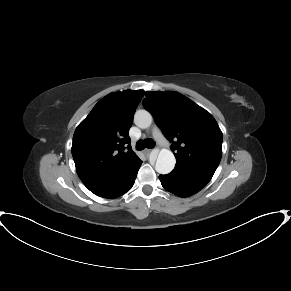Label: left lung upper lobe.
I'll list each match as a JSON object with an SVG mask.
<instances>
[{
  "label": "left lung upper lobe",
  "mask_w": 291,
  "mask_h": 291,
  "mask_svg": "<svg viewBox=\"0 0 291 291\" xmlns=\"http://www.w3.org/2000/svg\"><path fill=\"white\" fill-rule=\"evenodd\" d=\"M143 106L173 142L176 168L213 176L223 135L213 116L178 92H146Z\"/></svg>",
  "instance_id": "left-lung-upper-lobe-1"
}]
</instances>
